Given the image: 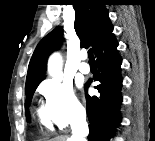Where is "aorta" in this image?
I'll return each instance as SVG.
<instances>
[{
    "label": "aorta",
    "mask_w": 155,
    "mask_h": 141,
    "mask_svg": "<svg viewBox=\"0 0 155 141\" xmlns=\"http://www.w3.org/2000/svg\"><path fill=\"white\" fill-rule=\"evenodd\" d=\"M62 69V58L59 53H54L50 56L48 61V73L55 77Z\"/></svg>",
    "instance_id": "762f6f07"
}]
</instances>
